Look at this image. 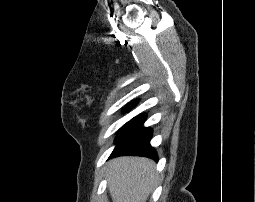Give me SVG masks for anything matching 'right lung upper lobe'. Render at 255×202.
Listing matches in <instances>:
<instances>
[{
	"label": "right lung upper lobe",
	"instance_id": "1",
	"mask_svg": "<svg viewBox=\"0 0 255 202\" xmlns=\"http://www.w3.org/2000/svg\"><path fill=\"white\" fill-rule=\"evenodd\" d=\"M134 105H135V103H134V102H133V103H131L130 105H128V106L126 107V110L131 109Z\"/></svg>",
	"mask_w": 255,
	"mask_h": 202
}]
</instances>
